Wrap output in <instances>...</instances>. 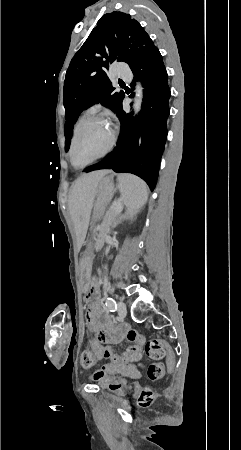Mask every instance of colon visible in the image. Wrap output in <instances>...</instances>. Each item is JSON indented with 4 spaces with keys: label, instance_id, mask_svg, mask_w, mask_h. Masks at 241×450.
I'll use <instances>...</instances> for the list:
<instances>
[{
    "label": "colon",
    "instance_id": "obj_1",
    "mask_svg": "<svg viewBox=\"0 0 241 450\" xmlns=\"http://www.w3.org/2000/svg\"><path fill=\"white\" fill-rule=\"evenodd\" d=\"M89 347V346H87ZM144 352L150 358L159 361L164 357V365L162 363H153L147 367L146 376L150 380L160 379L166 369H171L176 364V351L168 341H160L156 338L149 339L144 345ZM82 365L85 371H92L95 365V358L92 350H83L81 353ZM156 398V393L150 388L144 389L139 398L138 404L140 408L147 409L152 406Z\"/></svg>",
    "mask_w": 241,
    "mask_h": 450
}]
</instances>
